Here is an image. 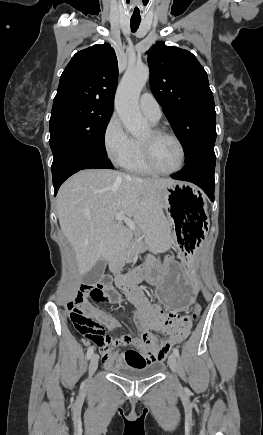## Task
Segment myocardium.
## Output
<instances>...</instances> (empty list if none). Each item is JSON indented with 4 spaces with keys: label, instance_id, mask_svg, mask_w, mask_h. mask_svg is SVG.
Segmentation results:
<instances>
[{
    "label": "myocardium",
    "instance_id": "f54148a6",
    "mask_svg": "<svg viewBox=\"0 0 263 435\" xmlns=\"http://www.w3.org/2000/svg\"><path fill=\"white\" fill-rule=\"evenodd\" d=\"M151 132H152V135L154 137H170V138H172L178 144V146L180 148L181 162H180V165L176 169L171 170V171H163V170L159 169L154 162L151 145L145 141H142L144 158H145V162H146L148 168L153 173L158 174V175H172V174H175V173L181 171L184 168L185 163H186V149H185V146H184L183 142L181 141V139L175 133L168 131L166 129H163V128L156 127V128H153L151 130Z\"/></svg>",
    "mask_w": 263,
    "mask_h": 435
}]
</instances>
